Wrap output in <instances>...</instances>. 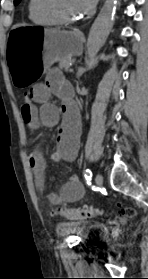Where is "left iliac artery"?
<instances>
[{"mask_svg": "<svg viewBox=\"0 0 148 279\" xmlns=\"http://www.w3.org/2000/svg\"><path fill=\"white\" fill-rule=\"evenodd\" d=\"M84 177L87 181V184L88 185H91V178H92V172L90 169H86L85 172H84Z\"/></svg>", "mask_w": 148, "mask_h": 279, "instance_id": "left-iliac-artery-1", "label": "left iliac artery"}]
</instances>
